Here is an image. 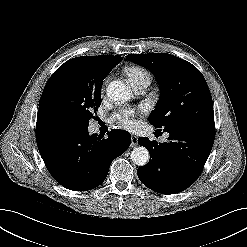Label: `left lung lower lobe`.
I'll return each mask as SVG.
<instances>
[{
	"mask_svg": "<svg viewBox=\"0 0 247 247\" xmlns=\"http://www.w3.org/2000/svg\"><path fill=\"white\" fill-rule=\"evenodd\" d=\"M169 142L158 143L147 137L138 143L148 149L149 162L137 170L140 181L161 194H174L187 189L202 172L211 152L215 134L189 129L168 132Z\"/></svg>",
	"mask_w": 247,
	"mask_h": 247,
	"instance_id": "obj_1",
	"label": "left lung lower lobe"
}]
</instances>
